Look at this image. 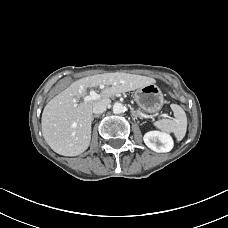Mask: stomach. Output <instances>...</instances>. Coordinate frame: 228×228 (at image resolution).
<instances>
[{
    "instance_id": "stomach-1",
    "label": "stomach",
    "mask_w": 228,
    "mask_h": 228,
    "mask_svg": "<svg viewBox=\"0 0 228 228\" xmlns=\"http://www.w3.org/2000/svg\"><path fill=\"white\" fill-rule=\"evenodd\" d=\"M135 101L146 113H158L164 105V97L158 86L148 84L137 89Z\"/></svg>"
}]
</instances>
